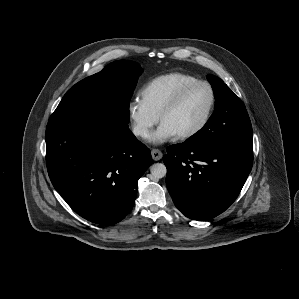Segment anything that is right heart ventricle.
Listing matches in <instances>:
<instances>
[{
	"label": "right heart ventricle",
	"mask_w": 299,
	"mask_h": 299,
	"mask_svg": "<svg viewBox=\"0 0 299 299\" xmlns=\"http://www.w3.org/2000/svg\"><path fill=\"white\" fill-rule=\"evenodd\" d=\"M197 78L182 72H172L149 81L140 91L141 101L159 116L163 107L179 89Z\"/></svg>",
	"instance_id": "1"
}]
</instances>
